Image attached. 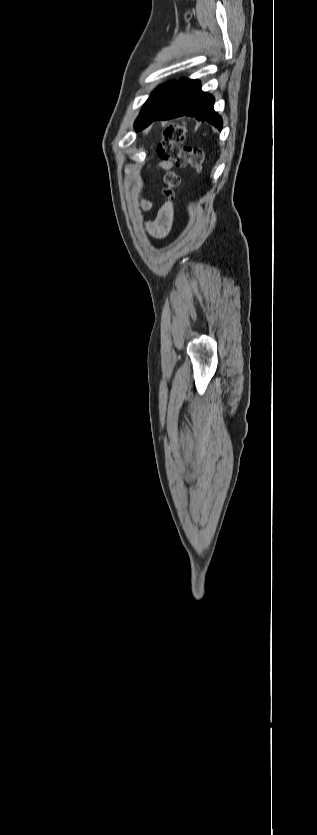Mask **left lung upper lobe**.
<instances>
[{"instance_id":"left-lung-upper-lobe-1","label":"left lung upper lobe","mask_w":317,"mask_h":835,"mask_svg":"<svg viewBox=\"0 0 317 835\" xmlns=\"http://www.w3.org/2000/svg\"><path fill=\"white\" fill-rule=\"evenodd\" d=\"M175 86L174 82H169L164 85L159 86L148 98L146 103L144 104L139 117L136 119L134 123L135 130H140L143 123L149 119L150 117L154 116L157 111L162 107V105L166 102L169 98L173 88Z\"/></svg>"}]
</instances>
